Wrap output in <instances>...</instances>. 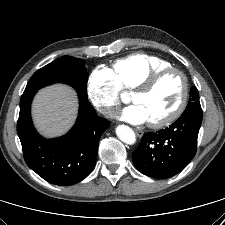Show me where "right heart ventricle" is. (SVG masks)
Returning <instances> with one entry per match:
<instances>
[{"label": "right heart ventricle", "instance_id": "obj_1", "mask_svg": "<svg viewBox=\"0 0 225 225\" xmlns=\"http://www.w3.org/2000/svg\"><path fill=\"white\" fill-rule=\"evenodd\" d=\"M171 67L159 57L145 53H132L115 61L113 74L122 89H134L149 75Z\"/></svg>", "mask_w": 225, "mask_h": 225}]
</instances>
